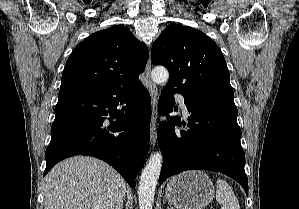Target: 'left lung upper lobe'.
<instances>
[{
    "label": "left lung upper lobe",
    "instance_id": "left-lung-upper-lobe-1",
    "mask_svg": "<svg viewBox=\"0 0 299 209\" xmlns=\"http://www.w3.org/2000/svg\"><path fill=\"white\" fill-rule=\"evenodd\" d=\"M151 59L169 70L167 86L183 92L233 95L225 58L218 45L203 32L170 24L154 42Z\"/></svg>",
    "mask_w": 299,
    "mask_h": 209
}]
</instances>
